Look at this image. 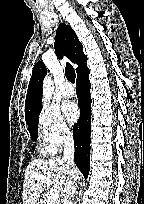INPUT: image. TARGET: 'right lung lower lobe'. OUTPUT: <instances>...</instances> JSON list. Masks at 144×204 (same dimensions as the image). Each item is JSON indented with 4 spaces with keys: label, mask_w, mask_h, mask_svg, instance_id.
<instances>
[{
    "label": "right lung lower lobe",
    "mask_w": 144,
    "mask_h": 204,
    "mask_svg": "<svg viewBox=\"0 0 144 204\" xmlns=\"http://www.w3.org/2000/svg\"><path fill=\"white\" fill-rule=\"evenodd\" d=\"M86 67L77 74L76 92L80 107V118L73 127L75 143V163L86 179L90 169V134H91V84Z\"/></svg>",
    "instance_id": "1"
}]
</instances>
